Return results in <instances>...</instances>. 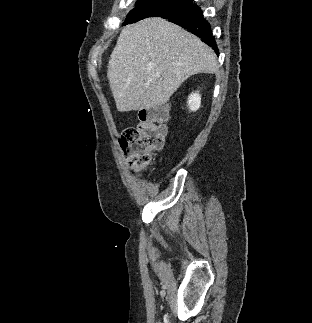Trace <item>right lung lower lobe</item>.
I'll list each match as a JSON object with an SVG mask.
<instances>
[{
  "label": "right lung lower lobe",
  "instance_id": "1",
  "mask_svg": "<svg viewBox=\"0 0 312 323\" xmlns=\"http://www.w3.org/2000/svg\"><path fill=\"white\" fill-rule=\"evenodd\" d=\"M202 10L199 6L192 4L183 9L176 10L161 17L188 29L194 35L200 37L202 41L211 46L219 54L216 41L212 36L209 23L203 18Z\"/></svg>",
  "mask_w": 312,
  "mask_h": 323
}]
</instances>
